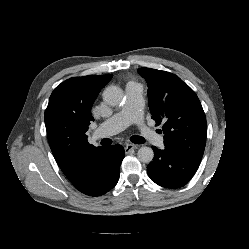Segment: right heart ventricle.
I'll use <instances>...</instances> for the list:
<instances>
[{
    "instance_id": "obj_1",
    "label": "right heart ventricle",
    "mask_w": 249,
    "mask_h": 249,
    "mask_svg": "<svg viewBox=\"0 0 249 249\" xmlns=\"http://www.w3.org/2000/svg\"><path fill=\"white\" fill-rule=\"evenodd\" d=\"M131 84H137V83H135V82H130L128 85H131Z\"/></svg>"
}]
</instances>
